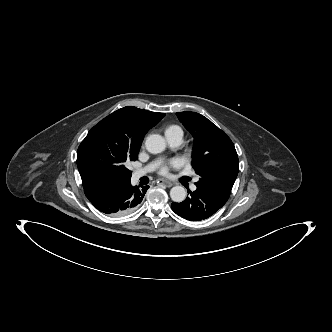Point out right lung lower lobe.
<instances>
[{"label":"right lung lower lobe","mask_w":332,"mask_h":332,"mask_svg":"<svg viewBox=\"0 0 332 332\" xmlns=\"http://www.w3.org/2000/svg\"><path fill=\"white\" fill-rule=\"evenodd\" d=\"M84 187L89 201L101 212L122 216L134 211L141 203L149 186H132L130 179L122 181L99 180Z\"/></svg>","instance_id":"obj_1"}]
</instances>
